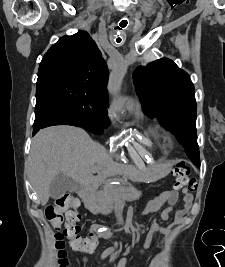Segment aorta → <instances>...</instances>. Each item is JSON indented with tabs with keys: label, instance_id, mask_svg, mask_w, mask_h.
<instances>
[{
	"label": "aorta",
	"instance_id": "1",
	"mask_svg": "<svg viewBox=\"0 0 225 267\" xmlns=\"http://www.w3.org/2000/svg\"><path fill=\"white\" fill-rule=\"evenodd\" d=\"M126 71H127V64L122 60L117 62L113 67V70L109 77L108 88L114 96H116L119 90V87L121 85L122 79Z\"/></svg>",
	"mask_w": 225,
	"mask_h": 267
}]
</instances>
